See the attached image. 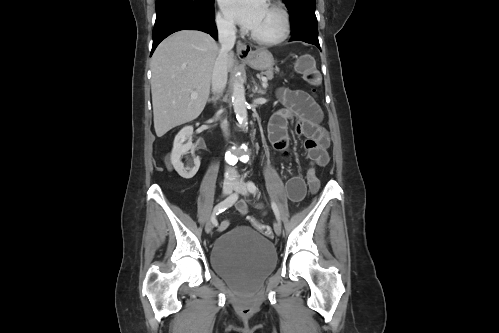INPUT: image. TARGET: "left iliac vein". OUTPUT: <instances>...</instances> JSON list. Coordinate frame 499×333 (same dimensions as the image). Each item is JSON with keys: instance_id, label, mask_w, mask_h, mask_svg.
<instances>
[{"instance_id": "1", "label": "left iliac vein", "mask_w": 499, "mask_h": 333, "mask_svg": "<svg viewBox=\"0 0 499 333\" xmlns=\"http://www.w3.org/2000/svg\"><path fill=\"white\" fill-rule=\"evenodd\" d=\"M234 190L243 195V196H247L248 195V190H247V186L245 183L243 182H238L235 184L234 186ZM274 231L276 233V235H281V232H282V228H281V225L278 223V222H275L274 223Z\"/></svg>"}]
</instances>
